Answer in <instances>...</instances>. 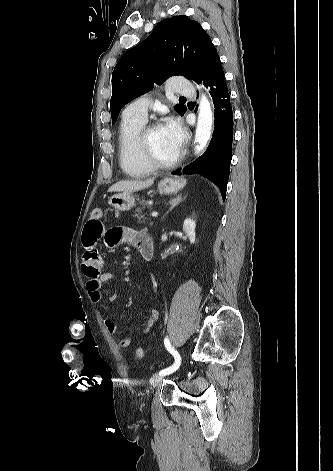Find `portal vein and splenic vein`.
<instances>
[{"mask_svg": "<svg viewBox=\"0 0 333 471\" xmlns=\"http://www.w3.org/2000/svg\"><path fill=\"white\" fill-rule=\"evenodd\" d=\"M151 216L156 218L158 216V213L157 212H152Z\"/></svg>", "mask_w": 333, "mask_h": 471, "instance_id": "obj_1", "label": "portal vein and splenic vein"}]
</instances>
